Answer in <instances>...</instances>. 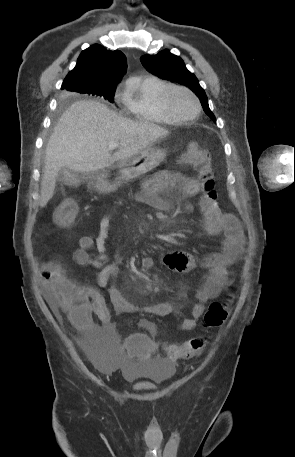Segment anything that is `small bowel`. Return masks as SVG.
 <instances>
[{
	"instance_id": "small-bowel-1",
	"label": "small bowel",
	"mask_w": 295,
	"mask_h": 457,
	"mask_svg": "<svg viewBox=\"0 0 295 457\" xmlns=\"http://www.w3.org/2000/svg\"><path fill=\"white\" fill-rule=\"evenodd\" d=\"M167 190H178L186 198H191L199 193V184L196 179L187 177L180 172H160L146 180L141 191L134 196L133 201L148 205L160 212L170 211L172 209L171 203L160 195L161 192ZM187 208L191 210L192 205L188 204ZM200 208L206 230L212 235H222V250L206 255L202 260V266L208 271V276L204 286L196 293L197 302L191 309V316L184 318L181 322V328L185 331H190L196 327L198 319L205 312V303L217 298L230 285L227 268L238 260L244 246L243 229L234 215L222 212L218 206H213L203 200L200 201ZM111 217V214H108L101 220L99 232L95 238L82 236L79 239V247L73 254L74 261L80 266H92L101 269L97 280L98 287L107 289L110 302L118 313H143L158 317L171 314L175 306L170 301L139 306L129 302L121 293L115 283L119 268L116 264H107L108 256L105 244L111 234ZM94 246L99 253L96 258H92L89 254V250ZM162 261L167 267L177 272H188L196 268V261L193 256L181 251L164 254ZM153 263L154 260L150 257L142 259V264L146 268H150ZM43 284L48 303L51 309L58 314L60 305L54 294L53 278L43 273ZM99 288H82L84 298L82 311L77 320L70 319L77 330L78 338H115L111 316ZM92 314L98 317L101 322L100 325L93 321ZM140 326L149 330L151 335L156 333L155 324L148 319H141ZM151 341L155 340L151 338ZM156 344L157 351L159 343L156 342ZM172 346L174 345L164 346L165 352ZM166 361L172 364L176 360Z\"/></svg>"
}]
</instances>
